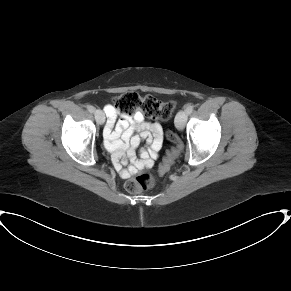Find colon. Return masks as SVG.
<instances>
[{
	"label": "colon",
	"instance_id": "5ec220e1",
	"mask_svg": "<svg viewBox=\"0 0 291 291\" xmlns=\"http://www.w3.org/2000/svg\"><path fill=\"white\" fill-rule=\"evenodd\" d=\"M113 106L125 113L139 111L151 119L168 120L175 111V104L171 101L162 102L152 95L140 96L136 92H126L114 99ZM167 137L174 140L176 135L172 131L167 132ZM168 164L162 163L159 168L160 173H165ZM156 180L149 172L140 173L133 179L125 183L128 192L139 194L152 189Z\"/></svg>",
	"mask_w": 291,
	"mask_h": 291
}]
</instances>
